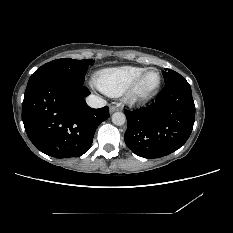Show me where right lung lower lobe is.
Returning <instances> with one entry per match:
<instances>
[{
	"mask_svg": "<svg viewBox=\"0 0 233 233\" xmlns=\"http://www.w3.org/2000/svg\"><path fill=\"white\" fill-rule=\"evenodd\" d=\"M89 94L83 84L60 77L27 85L22 120L38 150L55 158L78 157L88 151L97 127L109 118L107 106L87 105Z\"/></svg>",
	"mask_w": 233,
	"mask_h": 233,
	"instance_id": "1",
	"label": "right lung lower lobe"
}]
</instances>
